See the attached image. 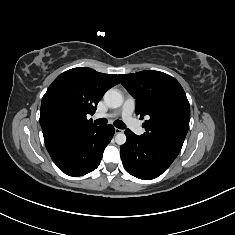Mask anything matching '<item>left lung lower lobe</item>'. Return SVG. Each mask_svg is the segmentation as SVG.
<instances>
[{
    "label": "left lung lower lobe",
    "mask_w": 235,
    "mask_h": 235,
    "mask_svg": "<svg viewBox=\"0 0 235 235\" xmlns=\"http://www.w3.org/2000/svg\"><path fill=\"white\" fill-rule=\"evenodd\" d=\"M127 141L120 147L126 171L140 179L160 176L175 160L180 151L160 142L125 131Z\"/></svg>",
    "instance_id": "0a47b994"
}]
</instances>
